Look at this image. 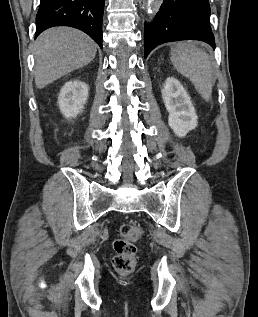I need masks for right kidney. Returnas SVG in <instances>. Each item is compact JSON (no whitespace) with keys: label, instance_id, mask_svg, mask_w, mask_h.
I'll use <instances>...</instances> for the list:
<instances>
[{"label":"right kidney","instance_id":"obj_1","mask_svg":"<svg viewBox=\"0 0 258 317\" xmlns=\"http://www.w3.org/2000/svg\"><path fill=\"white\" fill-rule=\"evenodd\" d=\"M89 86L81 80H69L60 88L58 106L66 118H74L87 102Z\"/></svg>","mask_w":258,"mask_h":317}]
</instances>
